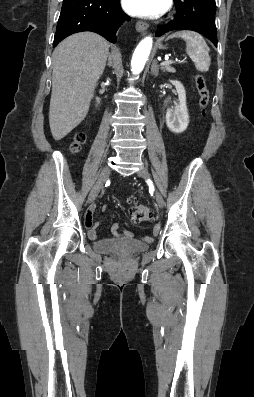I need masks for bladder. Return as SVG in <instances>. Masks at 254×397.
<instances>
[{
	"mask_svg": "<svg viewBox=\"0 0 254 397\" xmlns=\"http://www.w3.org/2000/svg\"><path fill=\"white\" fill-rule=\"evenodd\" d=\"M93 247L97 251L113 254H133L147 249L145 243L135 239H127L121 242L112 240L96 241L93 243Z\"/></svg>",
	"mask_w": 254,
	"mask_h": 397,
	"instance_id": "obj_1",
	"label": "bladder"
}]
</instances>
